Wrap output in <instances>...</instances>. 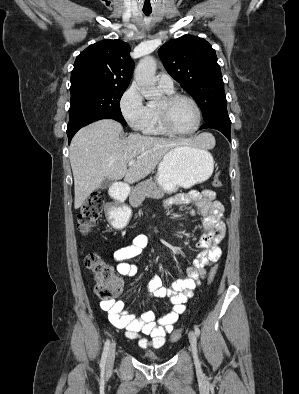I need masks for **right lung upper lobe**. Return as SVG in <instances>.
Masks as SVG:
<instances>
[{
    "mask_svg": "<svg viewBox=\"0 0 299 394\" xmlns=\"http://www.w3.org/2000/svg\"><path fill=\"white\" fill-rule=\"evenodd\" d=\"M129 44L106 39L90 45L76 58L71 72V87L86 84H104L127 87L134 62Z\"/></svg>",
    "mask_w": 299,
    "mask_h": 394,
    "instance_id": "right-lung-upper-lobe-1",
    "label": "right lung upper lobe"
}]
</instances>
